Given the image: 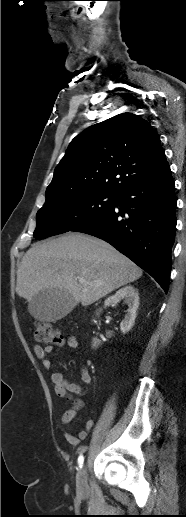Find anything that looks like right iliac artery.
<instances>
[{
    "label": "right iliac artery",
    "instance_id": "1",
    "mask_svg": "<svg viewBox=\"0 0 186 517\" xmlns=\"http://www.w3.org/2000/svg\"><path fill=\"white\" fill-rule=\"evenodd\" d=\"M83 462H84V456H83V455H80V456L78 457V464H79V467H82Z\"/></svg>",
    "mask_w": 186,
    "mask_h": 517
}]
</instances>
